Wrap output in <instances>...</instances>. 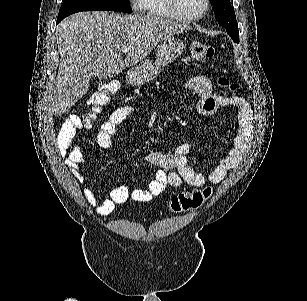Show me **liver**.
Returning <instances> with one entry per match:
<instances>
[{
    "instance_id": "liver-1",
    "label": "liver",
    "mask_w": 307,
    "mask_h": 301,
    "mask_svg": "<svg viewBox=\"0 0 307 301\" xmlns=\"http://www.w3.org/2000/svg\"><path fill=\"white\" fill-rule=\"evenodd\" d=\"M190 28L191 24L151 14L93 10L66 16L56 28L60 64L52 96L53 114H63L82 98L92 76L112 78L125 66L141 62L158 42ZM122 46L130 48L125 60Z\"/></svg>"
}]
</instances>
